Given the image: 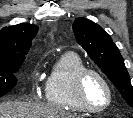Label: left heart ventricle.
<instances>
[{"label":"left heart ventricle","instance_id":"b2bd125f","mask_svg":"<svg viewBox=\"0 0 133 118\" xmlns=\"http://www.w3.org/2000/svg\"><path fill=\"white\" fill-rule=\"evenodd\" d=\"M85 94L89 104L94 108H100L107 102V89L103 82L95 75H90L87 78Z\"/></svg>","mask_w":133,"mask_h":118}]
</instances>
